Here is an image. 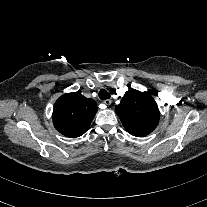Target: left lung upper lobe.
<instances>
[{"label":"left lung upper lobe","instance_id":"obj_1","mask_svg":"<svg viewBox=\"0 0 207 207\" xmlns=\"http://www.w3.org/2000/svg\"><path fill=\"white\" fill-rule=\"evenodd\" d=\"M115 111L127 132L137 137L150 134L160 118L154 98L149 93L135 89L125 93Z\"/></svg>","mask_w":207,"mask_h":207}]
</instances>
